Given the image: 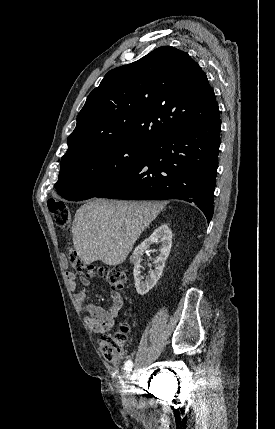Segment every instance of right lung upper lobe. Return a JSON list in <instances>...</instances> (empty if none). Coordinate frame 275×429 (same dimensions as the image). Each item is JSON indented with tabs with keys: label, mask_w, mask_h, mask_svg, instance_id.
<instances>
[{
	"label": "right lung upper lobe",
	"mask_w": 275,
	"mask_h": 429,
	"mask_svg": "<svg viewBox=\"0 0 275 429\" xmlns=\"http://www.w3.org/2000/svg\"><path fill=\"white\" fill-rule=\"evenodd\" d=\"M218 116L214 91L201 67L186 52L159 47L109 71L89 94L61 164L112 145H150Z\"/></svg>",
	"instance_id": "obj_1"
}]
</instances>
